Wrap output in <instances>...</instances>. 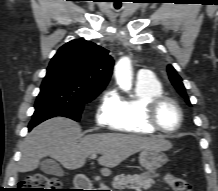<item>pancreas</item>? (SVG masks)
<instances>
[{
    "label": "pancreas",
    "instance_id": "pancreas-1",
    "mask_svg": "<svg viewBox=\"0 0 218 191\" xmlns=\"http://www.w3.org/2000/svg\"><path fill=\"white\" fill-rule=\"evenodd\" d=\"M154 184L149 173H143L141 175H118L114 178L112 186L118 190L130 189L136 191H142L149 189Z\"/></svg>",
    "mask_w": 218,
    "mask_h": 191
}]
</instances>
